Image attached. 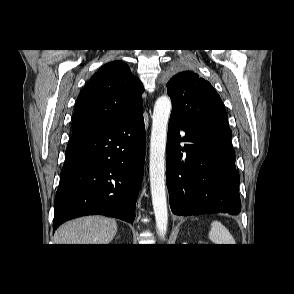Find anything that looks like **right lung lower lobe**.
I'll list each match as a JSON object with an SVG mask.
<instances>
[{"label": "right lung lower lobe", "mask_w": 294, "mask_h": 294, "mask_svg": "<svg viewBox=\"0 0 294 294\" xmlns=\"http://www.w3.org/2000/svg\"><path fill=\"white\" fill-rule=\"evenodd\" d=\"M144 155L143 106L110 125L73 134L55 196L53 229L94 214L132 223Z\"/></svg>", "instance_id": "obj_1"}]
</instances>
